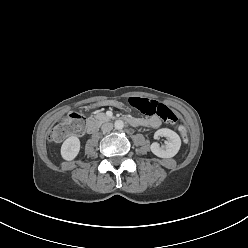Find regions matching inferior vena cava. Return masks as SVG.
<instances>
[{
  "label": "inferior vena cava",
  "mask_w": 248,
  "mask_h": 248,
  "mask_svg": "<svg viewBox=\"0 0 248 248\" xmlns=\"http://www.w3.org/2000/svg\"><path fill=\"white\" fill-rule=\"evenodd\" d=\"M112 129H113V124L110 123V122L104 123V124L102 125V127H101V130H102L103 132H109V131H111Z\"/></svg>",
  "instance_id": "obj_1"
}]
</instances>
